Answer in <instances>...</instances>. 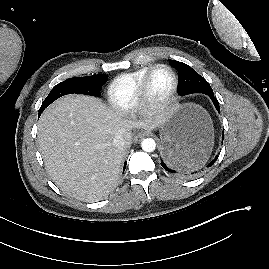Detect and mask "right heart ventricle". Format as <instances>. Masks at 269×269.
I'll list each match as a JSON object with an SVG mask.
<instances>
[{"label":"right heart ventricle","instance_id":"obj_1","mask_svg":"<svg viewBox=\"0 0 269 269\" xmlns=\"http://www.w3.org/2000/svg\"><path fill=\"white\" fill-rule=\"evenodd\" d=\"M150 67H143L115 77L108 86L110 105L122 113H129L137 106V90L143 76Z\"/></svg>","mask_w":269,"mask_h":269}]
</instances>
